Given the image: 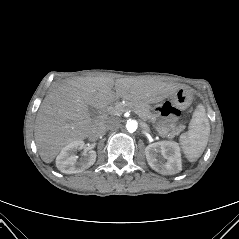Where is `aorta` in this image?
<instances>
[{
	"instance_id": "762f6f07",
	"label": "aorta",
	"mask_w": 239,
	"mask_h": 239,
	"mask_svg": "<svg viewBox=\"0 0 239 239\" xmlns=\"http://www.w3.org/2000/svg\"><path fill=\"white\" fill-rule=\"evenodd\" d=\"M138 128V122L136 120L129 119L126 122V129L128 132L133 133Z\"/></svg>"
}]
</instances>
